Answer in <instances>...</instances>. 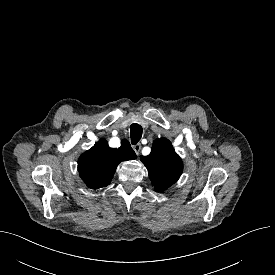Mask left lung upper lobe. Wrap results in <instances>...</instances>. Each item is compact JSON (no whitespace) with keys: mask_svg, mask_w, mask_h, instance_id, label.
Instances as JSON below:
<instances>
[{"mask_svg":"<svg viewBox=\"0 0 275 275\" xmlns=\"http://www.w3.org/2000/svg\"><path fill=\"white\" fill-rule=\"evenodd\" d=\"M148 169L149 178L157 192H163L176 183L183 171L181 158L166 138L153 142L151 153L141 156Z\"/></svg>","mask_w":275,"mask_h":275,"instance_id":"1","label":"left lung upper lobe"}]
</instances>
